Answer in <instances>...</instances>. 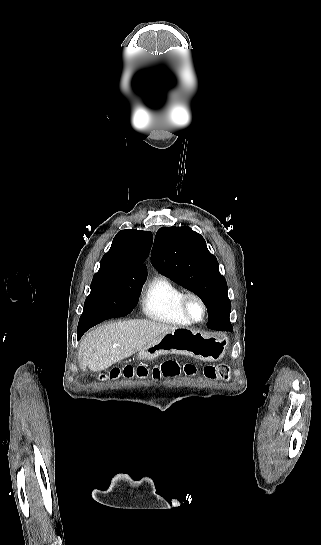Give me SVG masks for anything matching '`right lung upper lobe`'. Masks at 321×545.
Instances as JSON below:
<instances>
[{"mask_svg":"<svg viewBox=\"0 0 321 545\" xmlns=\"http://www.w3.org/2000/svg\"><path fill=\"white\" fill-rule=\"evenodd\" d=\"M152 241V233L148 231H119L96 274L107 275L116 283L143 284L147 269L142 263L148 256Z\"/></svg>","mask_w":321,"mask_h":545,"instance_id":"right-lung-upper-lobe-1","label":"right lung upper lobe"}]
</instances>
